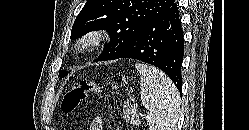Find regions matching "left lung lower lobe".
<instances>
[{
    "label": "left lung lower lobe",
    "instance_id": "left-lung-lower-lobe-1",
    "mask_svg": "<svg viewBox=\"0 0 249 130\" xmlns=\"http://www.w3.org/2000/svg\"><path fill=\"white\" fill-rule=\"evenodd\" d=\"M184 35L175 1L164 13L146 23L110 60L131 58L164 71L182 92L181 66Z\"/></svg>",
    "mask_w": 249,
    "mask_h": 130
}]
</instances>
